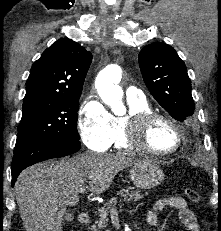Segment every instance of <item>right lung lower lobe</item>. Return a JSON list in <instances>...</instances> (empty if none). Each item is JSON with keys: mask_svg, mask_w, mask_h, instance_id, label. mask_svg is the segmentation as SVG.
Returning <instances> with one entry per match:
<instances>
[{"mask_svg": "<svg viewBox=\"0 0 221 231\" xmlns=\"http://www.w3.org/2000/svg\"><path fill=\"white\" fill-rule=\"evenodd\" d=\"M81 143L72 141L48 140L29 145L28 147L14 153L11 170L12 186L19 173L26 167L51 158L67 156L77 152Z\"/></svg>", "mask_w": 221, "mask_h": 231, "instance_id": "1", "label": "right lung lower lobe"}]
</instances>
